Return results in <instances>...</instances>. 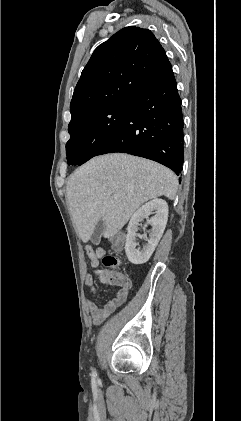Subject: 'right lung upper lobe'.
<instances>
[{
    "mask_svg": "<svg viewBox=\"0 0 241 421\" xmlns=\"http://www.w3.org/2000/svg\"><path fill=\"white\" fill-rule=\"evenodd\" d=\"M168 61L148 29L130 26L99 45L83 69L70 104L71 123L116 102L129 100Z\"/></svg>",
    "mask_w": 241,
    "mask_h": 421,
    "instance_id": "1",
    "label": "right lung upper lobe"
}]
</instances>
